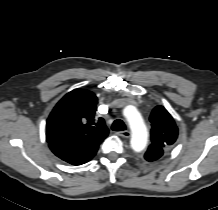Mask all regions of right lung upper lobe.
Returning <instances> with one entry per match:
<instances>
[{
    "label": "right lung upper lobe",
    "instance_id": "right-lung-upper-lobe-1",
    "mask_svg": "<svg viewBox=\"0 0 218 210\" xmlns=\"http://www.w3.org/2000/svg\"><path fill=\"white\" fill-rule=\"evenodd\" d=\"M97 103L95 94L87 90L66 94L47 119V142L82 151L97 150L108 135L104 119L95 116Z\"/></svg>",
    "mask_w": 218,
    "mask_h": 210
}]
</instances>
